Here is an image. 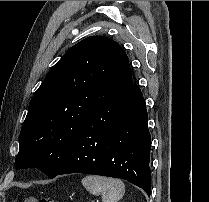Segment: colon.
<instances>
[{
	"instance_id": "5ec220e1",
	"label": "colon",
	"mask_w": 209,
	"mask_h": 202,
	"mask_svg": "<svg viewBox=\"0 0 209 202\" xmlns=\"http://www.w3.org/2000/svg\"><path fill=\"white\" fill-rule=\"evenodd\" d=\"M24 202H55L53 199L48 198V197H41V198H36V197H27Z\"/></svg>"
}]
</instances>
